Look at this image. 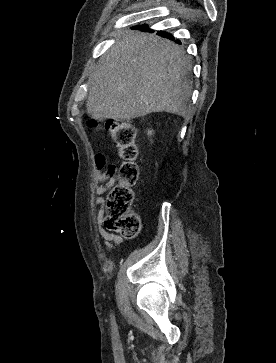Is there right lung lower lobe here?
I'll return each instance as SVG.
<instances>
[{
	"instance_id": "obj_1",
	"label": "right lung lower lobe",
	"mask_w": 276,
	"mask_h": 363,
	"mask_svg": "<svg viewBox=\"0 0 276 363\" xmlns=\"http://www.w3.org/2000/svg\"><path fill=\"white\" fill-rule=\"evenodd\" d=\"M137 28H140L142 30H147V26H145V25L138 26ZM158 34L161 35L162 37H165V38H168V39H173L171 37V34L165 33L163 31H159ZM176 43H180V42L177 40Z\"/></svg>"
}]
</instances>
